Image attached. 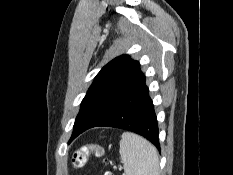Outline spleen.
Returning <instances> with one entry per match:
<instances>
[{"instance_id": "1", "label": "spleen", "mask_w": 233, "mask_h": 175, "mask_svg": "<svg viewBox=\"0 0 233 175\" xmlns=\"http://www.w3.org/2000/svg\"><path fill=\"white\" fill-rule=\"evenodd\" d=\"M119 153L125 175H159L158 152L141 136L123 133Z\"/></svg>"}]
</instances>
